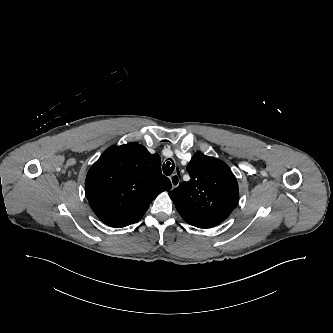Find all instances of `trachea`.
<instances>
[{
    "label": "trachea",
    "instance_id": "1",
    "mask_svg": "<svg viewBox=\"0 0 333 333\" xmlns=\"http://www.w3.org/2000/svg\"><path fill=\"white\" fill-rule=\"evenodd\" d=\"M166 163L163 164V173L167 176H170L175 170V164L172 159L165 160ZM178 170V168H177Z\"/></svg>",
    "mask_w": 333,
    "mask_h": 333
}]
</instances>
